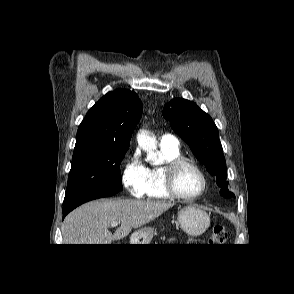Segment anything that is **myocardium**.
I'll use <instances>...</instances> for the list:
<instances>
[{
    "label": "myocardium",
    "instance_id": "myocardium-1",
    "mask_svg": "<svg viewBox=\"0 0 294 294\" xmlns=\"http://www.w3.org/2000/svg\"><path fill=\"white\" fill-rule=\"evenodd\" d=\"M184 166L192 167L201 177L202 187L200 191L192 196L181 194L176 187V177L179 170ZM207 188V177L202 168L192 159L186 157H178L167 163L165 167V189L169 195L175 199L182 201H194L201 197Z\"/></svg>",
    "mask_w": 294,
    "mask_h": 294
}]
</instances>
